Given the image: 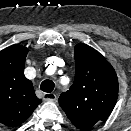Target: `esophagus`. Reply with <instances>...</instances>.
I'll return each mask as SVG.
<instances>
[{
	"label": "esophagus",
	"instance_id": "1",
	"mask_svg": "<svg viewBox=\"0 0 131 131\" xmlns=\"http://www.w3.org/2000/svg\"><path fill=\"white\" fill-rule=\"evenodd\" d=\"M43 99L45 101H55L57 99V96L55 93H44Z\"/></svg>",
	"mask_w": 131,
	"mask_h": 131
}]
</instances>
